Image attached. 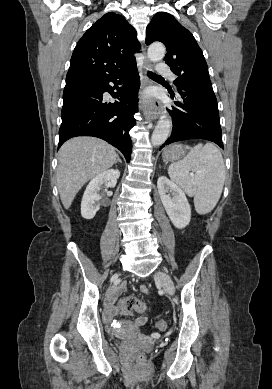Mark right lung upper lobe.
I'll list each match as a JSON object with an SVG mask.
<instances>
[{"label": "right lung upper lobe", "mask_w": 272, "mask_h": 389, "mask_svg": "<svg viewBox=\"0 0 272 389\" xmlns=\"http://www.w3.org/2000/svg\"><path fill=\"white\" fill-rule=\"evenodd\" d=\"M140 50L135 29L121 15L109 12L78 41L66 84L96 80L135 63Z\"/></svg>", "instance_id": "1"}]
</instances>
